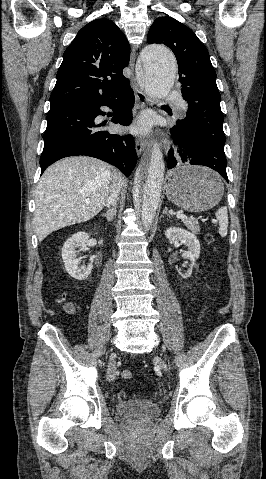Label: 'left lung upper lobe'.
Returning a JSON list of instances; mask_svg holds the SVG:
<instances>
[{
	"mask_svg": "<svg viewBox=\"0 0 266 479\" xmlns=\"http://www.w3.org/2000/svg\"><path fill=\"white\" fill-rule=\"evenodd\" d=\"M147 41L165 44L177 59L181 93L188 110L186 118L178 120L175 127L205 162L226 160L221 96L207 48L190 28L171 17L157 18Z\"/></svg>",
	"mask_w": 266,
	"mask_h": 479,
	"instance_id": "obj_1",
	"label": "left lung upper lobe"
}]
</instances>
